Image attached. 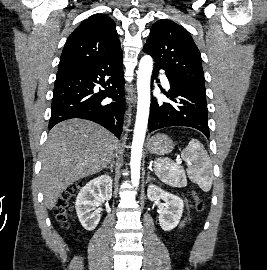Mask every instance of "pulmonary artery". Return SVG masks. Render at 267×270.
Segmentation results:
<instances>
[{
	"label": "pulmonary artery",
	"instance_id": "pulmonary-artery-1",
	"mask_svg": "<svg viewBox=\"0 0 267 270\" xmlns=\"http://www.w3.org/2000/svg\"><path fill=\"white\" fill-rule=\"evenodd\" d=\"M161 82L165 88H169V81L165 75L161 76Z\"/></svg>",
	"mask_w": 267,
	"mask_h": 270
}]
</instances>
